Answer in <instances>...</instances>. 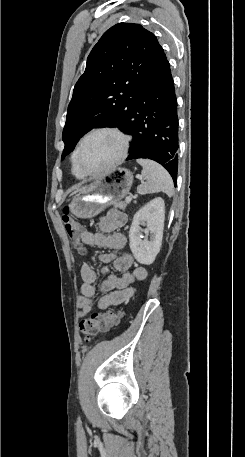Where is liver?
Instances as JSON below:
<instances>
[{
  "instance_id": "liver-1",
  "label": "liver",
  "mask_w": 245,
  "mask_h": 457,
  "mask_svg": "<svg viewBox=\"0 0 245 457\" xmlns=\"http://www.w3.org/2000/svg\"><path fill=\"white\" fill-rule=\"evenodd\" d=\"M83 188H85V186H82V188H77V190H75V192H80V190H83Z\"/></svg>"
}]
</instances>
